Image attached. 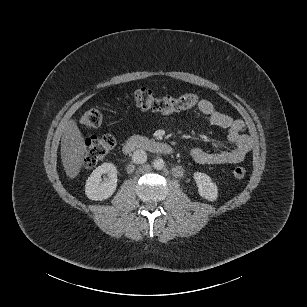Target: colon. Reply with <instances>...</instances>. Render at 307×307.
Instances as JSON below:
<instances>
[{"mask_svg":"<svg viewBox=\"0 0 307 307\" xmlns=\"http://www.w3.org/2000/svg\"><path fill=\"white\" fill-rule=\"evenodd\" d=\"M126 100L134 103L139 109L160 112L164 114L191 108L199 103L200 97L196 93H186L180 97L166 95L155 97L150 89L139 88L125 96ZM103 120L102 113L97 109L86 110L80 117V124L87 129L98 128ZM115 139L110 135L91 137L86 142L84 162L88 167L100 163L114 148ZM235 179H243L246 170L237 166L232 171Z\"/></svg>","mask_w":307,"mask_h":307,"instance_id":"colon-1","label":"colon"}]
</instances>
